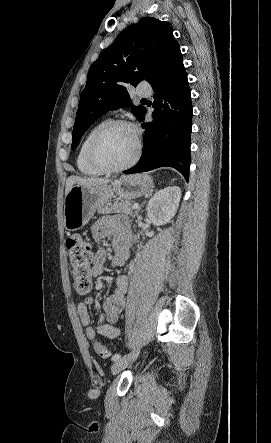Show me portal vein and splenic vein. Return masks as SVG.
<instances>
[{
  "label": "portal vein and splenic vein",
  "instance_id": "portal-vein-and-splenic-vein-1",
  "mask_svg": "<svg viewBox=\"0 0 271 443\" xmlns=\"http://www.w3.org/2000/svg\"><path fill=\"white\" fill-rule=\"evenodd\" d=\"M137 208H139V204H133L132 210H137Z\"/></svg>",
  "mask_w": 271,
  "mask_h": 443
}]
</instances>
